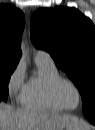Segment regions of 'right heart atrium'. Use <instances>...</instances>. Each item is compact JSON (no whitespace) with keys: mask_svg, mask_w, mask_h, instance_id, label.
<instances>
[{"mask_svg":"<svg viewBox=\"0 0 95 130\" xmlns=\"http://www.w3.org/2000/svg\"><path fill=\"white\" fill-rule=\"evenodd\" d=\"M25 69L23 64L19 63L11 72L7 81L8 94L11 97H20L24 88Z\"/></svg>","mask_w":95,"mask_h":130,"instance_id":"d8ad5b80","label":"right heart atrium"}]
</instances>
